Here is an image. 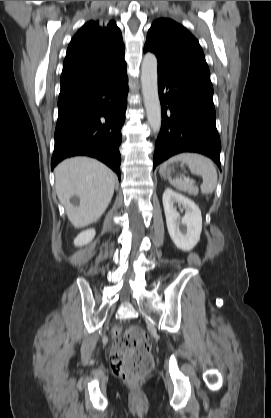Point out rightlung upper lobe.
Returning a JSON list of instances; mask_svg holds the SVG:
<instances>
[{"label":"right lung upper lobe","mask_w":271,"mask_h":418,"mask_svg":"<svg viewBox=\"0 0 271 418\" xmlns=\"http://www.w3.org/2000/svg\"><path fill=\"white\" fill-rule=\"evenodd\" d=\"M124 44L114 21H89L72 38L61 74L58 104L88 93L126 67Z\"/></svg>","instance_id":"cb5924a9"}]
</instances>
